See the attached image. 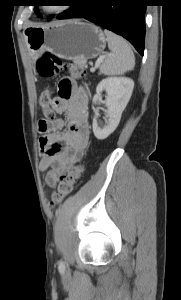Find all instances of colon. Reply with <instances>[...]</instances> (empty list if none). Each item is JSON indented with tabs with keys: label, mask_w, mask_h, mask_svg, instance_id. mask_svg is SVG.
<instances>
[{
	"label": "colon",
	"mask_w": 181,
	"mask_h": 300,
	"mask_svg": "<svg viewBox=\"0 0 181 300\" xmlns=\"http://www.w3.org/2000/svg\"><path fill=\"white\" fill-rule=\"evenodd\" d=\"M37 71L43 78H53L60 71H64L68 76L81 78L85 75V69L77 66L72 62H64L59 57L45 53L37 61ZM41 111L45 115V119L38 123L41 133H45L48 127V121L55 118L52 89L44 90L38 100ZM85 167L82 164L70 167L67 171L61 173L57 179V186L52 194V204L62 202L73 191L78 180L83 176Z\"/></svg>",
	"instance_id": "5ec220e1"
}]
</instances>
